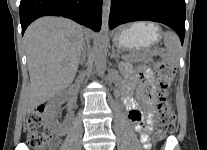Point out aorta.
Instances as JSON below:
<instances>
[{"label": "aorta", "mask_w": 207, "mask_h": 150, "mask_svg": "<svg viewBox=\"0 0 207 150\" xmlns=\"http://www.w3.org/2000/svg\"><path fill=\"white\" fill-rule=\"evenodd\" d=\"M111 10V0H103L101 29L97 37L95 64L97 72L102 76L106 69V59L109 48V16Z\"/></svg>", "instance_id": "762f6f07"}]
</instances>
